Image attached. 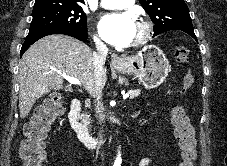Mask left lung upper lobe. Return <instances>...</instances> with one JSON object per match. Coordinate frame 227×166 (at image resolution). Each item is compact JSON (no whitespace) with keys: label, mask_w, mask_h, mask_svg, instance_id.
Returning a JSON list of instances; mask_svg holds the SVG:
<instances>
[{"label":"left lung upper lobe","mask_w":227,"mask_h":166,"mask_svg":"<svg viewBox=\"0 0 227 166\" xmlns=\"http://www.w3.org/2000/svg\"><path fill=\"white\" fill-rule=\"evenodd\" d=\"M154 25V36L170 30L192 31L188 7L184 0H139Z\"/></svg>","instance_id":"obj_1"}]
</instances>
